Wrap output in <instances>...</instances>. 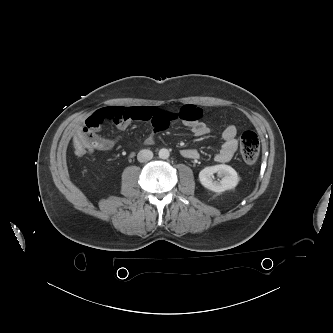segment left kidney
Segmentation results:
<instances>
[{
  "instance_id": "5707ae66",
  "label": "left kidney",
  "mask_w": 333,
  "mask_h": 333,
  "mask_svg": "<svg viewBox=\"0 0 333 333\" xmlns=\"http://www.w3.org/2000/svg\"><path fill=\"white\" fill-rule=\"evenodd\" d=\"M214 173L222 177L219 182L214 180ZM199 180L206 189L220 193L235 188L239 182V176L231 166L220 164L201 170Z\"/></svg>"
}]
</instances>
